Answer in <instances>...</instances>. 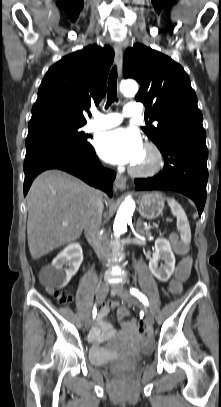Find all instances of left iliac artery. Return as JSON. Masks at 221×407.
<instances>
[{"mask_svg":"<svg viewBox=\"0 0 221 407\" xmlns=\"http://www.w3.org/2000/svg\"><path fill=\"white\" fill-rule=\"evenodd\" d=\"M130 293L137 297L145 306L149 305L147 297L136 288H130Z\"/></svg>","mask_w":221,"mask_h":407,"instance_id":"44dca946","label":"left iliac artery"}]
</instances>
